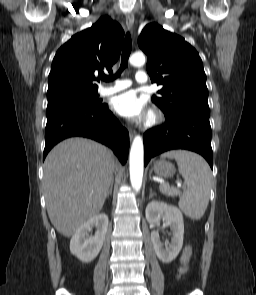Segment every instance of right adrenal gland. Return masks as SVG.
<instances>
[{"label":"right adrenal gland","mask_w":256,"mask_h":295,"mask_svg":"<svg viewBox=\"0 0 256 295\" xmlns=\"http://www.w3.org/2000/svg\"><path fill=\"white\" fill-rule=\"evenodd\" d=\"M113 183H114V178L112 179V182H111V185H110V188L108 190V193H107V198L112 194V189H113Z\"/></svg>","instance_id":"2a0ac1e0"}]
</instances>
